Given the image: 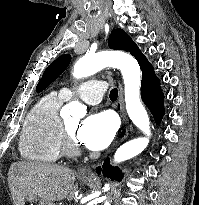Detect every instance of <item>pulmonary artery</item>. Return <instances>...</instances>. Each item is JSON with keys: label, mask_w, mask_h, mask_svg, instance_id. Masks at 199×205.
I'll list each match as a JSON object with an SVG mask.
<instances>
[{"label": "pulmonary artery", "mask_w": 199, "mask_h": 205, "mask_svg": "<svg viewBox=\"0 0 199 205\" xmlns=\"http://www.w3.org/2000/svg\"><path fill=\"white\" fill-rule=\"evenodd\" d=\"M105 90L106 85L103 81L91 79L81 83L74 89L62 88L60 90V95L64 100H69L73 96H78L84 102L95 105L101 102Z\"/></svg>", "instance_id": "e3ab8cb5"}]
</instances>
